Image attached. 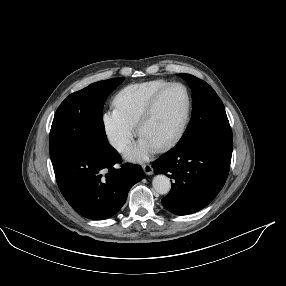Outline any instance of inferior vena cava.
<instances>
[{
  "instance_id": "1",
  "label": "inferior vena cava",
  "mask_w": 286,
  "mask_h": 286,
  "mask_svg": "<svg viewBox=\"0 0 286 286\" xmlns=\"http://www.w3.org/2000/svg\"><path fill=\"white\" fill-rule=\"evenodd\" d=\"M123 142H124V143H127V142H128V140H127V139H124V140H123Z\"/></svg>"
}]
</instances>
